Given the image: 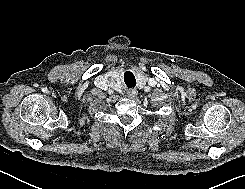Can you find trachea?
Returning a JSON list of instances; mask_svg holds the SVG:
<instances>
[{
    "label": "trachea",
    "mask_w": 245,
    "mask_h": 189,
    "mask_svg": "<svg viewBox=\"0 0 245 189\" xmlns=\"http://www.w3.org/2000/svg\"><path fill=\"white\" fill-rule=\"evenodd\" d=\"M126 84H127L128 87H134L135 84H136L135 77L132 75V78L129 80L128 83L126 82Z\"/></svg>",
    "instance_id": "trachea-1"
}]
</instances>
